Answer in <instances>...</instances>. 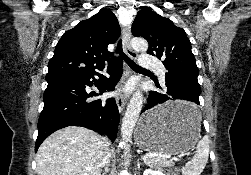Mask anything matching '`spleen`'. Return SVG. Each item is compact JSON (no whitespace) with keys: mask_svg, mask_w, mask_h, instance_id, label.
<instances>
[{"mask_svg":"<svg viewBox=\"0 0 251 175\" xmlns=\"http://www.w3.org/2000/svg\"><path fill=\"white\" fill-rule=\"evenodd\" d=\"M194 115L195 117H199L200 111H198V109H195ZM208 157L209 137L208 135H204V137H201V139H199L197 143L196 153L194 157H192L190 163H186V165H184L182 169L184 175H200L208 161Z\"/></svg>","mask_w":251,"mask_h":175,"instance_id":"3e777b00","label":"spleen"}]
</instances>
